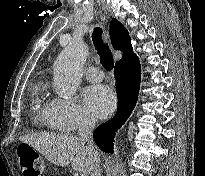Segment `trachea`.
<instances>
[{"label":"trachea","instance_id":"trachea-1","mask_svg":"<svg viewBox=\"0 0 205 176\" xmlns=\"http://www.w3.org/2000/svg\"><path fill=\"white\" fill-rule=\"evenodd\" d=\"M92 40L95 48L100 56V63L107 70H112L114 66L113 57L108 44L103 41L102 29L100 27L94 28L92 32Z\"/></svg>","mask_w":205,"mask_h":176}]
</instances>
